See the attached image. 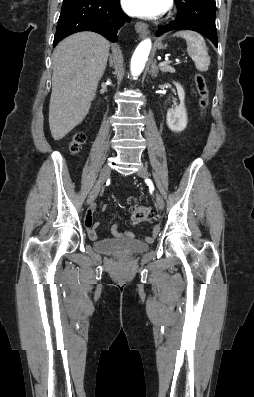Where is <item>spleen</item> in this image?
<instances>
[{
	"label": "spleen",
	"instance_id": "spleen-1",
	"mask_svg": "<svg viewBox=\"0 0 254 397\" xmlns=\"http://www.w3.org/2000/svg\"><path fill=\"white\" fill-rule=\"evenodd\" d=\"M173 36L185 39L187 43V53L194 61L196 68L199 71H207L210 65V57L203 37L189 30L178 31Z\"/></svg>",
	"mask_w": 254,
	"mask_h": 397
}]
</instances>
